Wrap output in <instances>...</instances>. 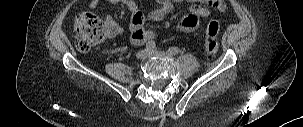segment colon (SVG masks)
<instances>
[{
  "label": "colon",
  "instance_id": "1",
  "mask_svg": "<svg viewBox=\"0 0 303 127\" xmlns=\"http://www.w3.org/2000/svg\"><path fill=\"white\" fill-rule=\"evenodd\" d=\"M77 48L80 51H87L90 48L103 42L110 34V29L104 21L91 12H81L75 21ZM219 31V22L211 20L206 27L204 42L205 51L209 55L218 52L216 37Z\"/></svg>",
  "mask_w": 303,
  "mask_h": 127
}]
</instances>
